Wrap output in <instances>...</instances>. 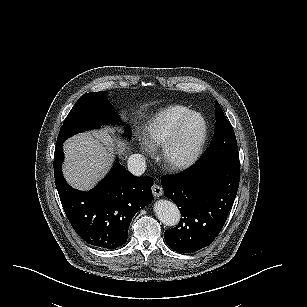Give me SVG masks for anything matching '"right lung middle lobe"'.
Instances as JSON below:
<instances>
[{"label":"right lung middle lobe","mask_w":307,"mask_h":307,"mask_svg":"<svg viewBox=\"0 0 307 307\" xmlns=\"http://www.w3.org/2000/svg\"><path fill=\"white\" fill-rule=\"evenodd\" d=\"M107 92H90L84 94L74 105L66 117L56 145L62 144L70 136L93 128H99L102 124L119 123V115L108 104ZM126 135L130 138L132 133L126 128Z\"/></svg>","instance_id":"dd1d6c3e"}]
</instances>
